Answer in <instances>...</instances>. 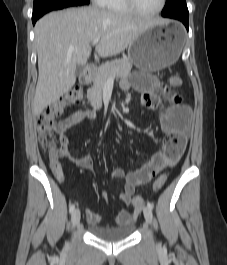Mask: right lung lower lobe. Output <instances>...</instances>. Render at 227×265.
I'll list each match as a JSON object with an SVG mask.
<instances>
[{"label": "right lung lower lobe", "instance_id": "98d812e1", "mask_svg": "<svg viewBox=\"0 0 227 265\" xmlns=\"http://www.w3.org/2000/svg\"><path fill=\"white\" fill-rule=\"evenodd\" d=\"M37 19L38 18H32L33 24H35V22H36Z\"/></svg>", "mask_w": 227, "mask_h": 265}]
</instances>
